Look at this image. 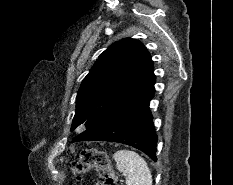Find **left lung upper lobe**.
Here are the masks:
<instances>
[{
    "label": "left lung upper lobe",
    "instance_id": "obj_1",
    "mask_svg": "<svg viewBox=\"0 0 233 185\" xmlns=\"http://www.w3.org/2000/svg\"><path fill=\"white\" fill-rule=\"evenodd\" d=\"M152 70L150 53L141 42L126 38L113 43L81 83L72 129L79 125L92 128L126 90Z\"/></svg>",
    "mask_w": 233,
    "mask_h": 185
}]
</instances>
